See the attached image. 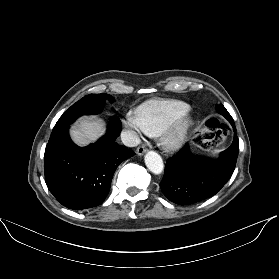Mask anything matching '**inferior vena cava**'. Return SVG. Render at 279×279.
Listing matches in <instances>:
<instances>
[{"label":"inferior vena cava","mask_w":279,"mask_h":279,"mask_svg":"<svg viewBox=\"0 0 279 279\" xmlns=\"http://www.w3.org/2000/svg\"><path fill=\"white\" fill-rule=\"evenodd\" d=\"M121 140L127 147H135L141 142L139 136L134 131L130 130H124L121 133Z\"/></svg>","instance_id":"inferior-vena-cava-1"}]
</instances>
